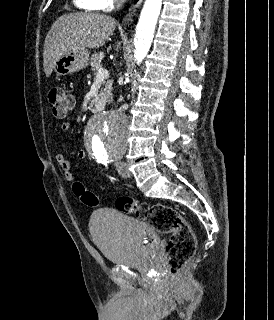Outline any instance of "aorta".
Wrapping results in <instances>:
<instances>
[{
	"mask_svg": "<svg viewBox=\"0 0 274 320\" xmlns=\"http://www.w3.org/2000/svg\"><path fill=\"white\" fill-rule=\"evenodd\" d=\"M162 0H146L136 26L134 57L140 63L147 55L160 14ZM88 149L96 159L117 158L127 147V119L120 111H110L95 118L86 133Z\"/></svg>",
	"mask_w": 274,
	"mask_h": 320,
	"instance_id": "obj_1",
	"label": "aorta"
}]
</instances>
